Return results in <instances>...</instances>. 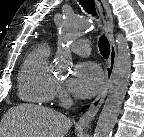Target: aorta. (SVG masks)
Returning a JSON list of instances; mask_svg holds the SVG:
<instances>
[{"label":"aorta","mask_w":144,"mask_h":137,"mask_svg":"<svg viewBox=\"0 0 144 137\" xmlns=\"http://www.w3.org/2000/svg\"><path fill=\"white\" fill-rule=\"evenodd\" d=\"M95 25L87 19L67 16L62 24L59 48L56 55L57 65L61 68L71 64L69 47L84 31L93 30ZM117 58L114 66L110 89L94 131V137H111L122 103L127 91L131 74V53L129 44L122 33L116 34Z\"/></svg>","instance_id":"aorta-1"}]
</instances>
